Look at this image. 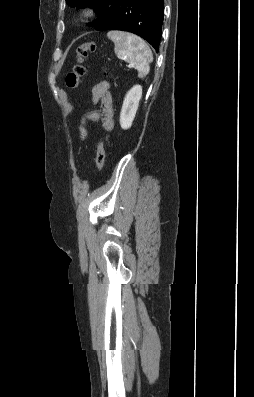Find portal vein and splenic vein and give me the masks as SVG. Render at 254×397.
Wrapping results in <instances>:
<instances>
[{
  "label": "portal vein and splenic vein",
  "mask_w": 254,
  "mask_h": 397,
  "mask_svg": "<svg viewBox=\"0 0 254 397\" xmlns=\"http://www.w3.org/2000/svg\"><path fill=\"white\" fill-rule=\"evenodd\" d=\"M128 68H132V65H127Z\"/></svg>",
  "instance_id": "18ae733b"
}]
</instances>
